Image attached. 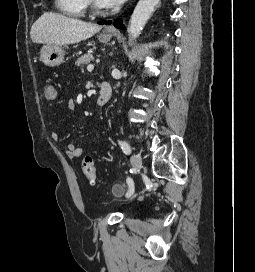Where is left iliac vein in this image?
Here are the masks:
<instances>
[{"instance_id":"4c4485c4","label":"left iliac vein","mask_w":255,"mask_h":272,"mask_svg":"<svg viewBox=\"0 0 255 272\" xmlns=\"http://www.w3.org/2000/svg\"><path fill=\"white\" fill-rule=\"evenodd\" d=\"M131 164L135 170L139 171L142 167V159L141 156L138 154H134L131 157Z\"/></svg>"}]
</instances>
